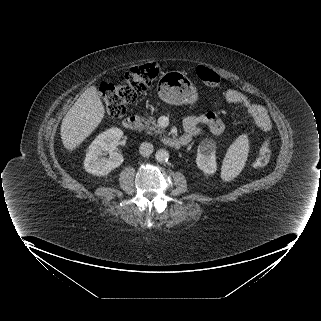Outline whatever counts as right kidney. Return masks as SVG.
<instances>
[{
    "instance_id": "obj_1",
    "label": "right kidney",
    "mask_w": 321,
    "mask_h": 321,
    "mask_svg": "<svg viewBox=\"0 0 321 321\" xmlns=\"http://www.w3.org/2000/svg\"><path fill=\"white\" fill-rule=\"evenodd\" d=\"M123 136V131L113 127L98 135L89 146L84 160V168L88 173L103 176L117 168L124 161L123 156L115 148ZM108 152L109 157L100 158Z\"/></svg>"
}]
</instances>
